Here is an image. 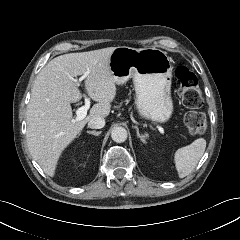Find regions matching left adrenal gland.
<instances>
[{"label": "left adrenal gland", "instance_id": "1", "mask_svg": "<svg viewBox=\"0 0 240 240\" xmlns=\"http://www.w3.org/2000/svg\"><path fill=\"white\" fill-rule=\"evenodd\" d=\"M134 128L136 129L137 137L141 140L142 143H146L145 139L148 138V134L141 135L139 133V128L137 126H134Z\"/></svg>", "mask_w": 240, "mask_h": 240}]
</instances>
